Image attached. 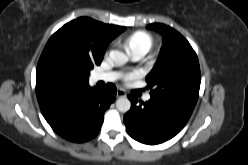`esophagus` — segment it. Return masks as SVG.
Wrapping results in <instances>:
<instances>
[{
    "label": "esophagus",
    "instance_id": "1",
    "mask_svg": "<svg viewBox=\"0 0 248 165\" xmlns=\"http://www.w3.org/2000/svg\"><path fill=\"white\" fill-rule=\"evenodd\" d=\"M125 95H126V93L124 90H122V89L117 90V97H123Z\"/></svg>",
    "mask_w": 248,
    "mask_h": 165
}]
</instances>
